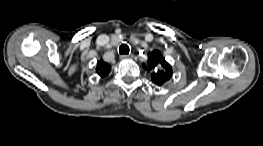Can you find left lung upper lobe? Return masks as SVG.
Masks as SVG:
<instances>
[{"label":"left lung upper lobe","instance_id":"1","mask_svg":"<svg viewBox=\"0 0 263 146\" xmlns=\"http://www.w3.org/2000/svg\"><path fill=\"white\" fill-rule=\"evenodd\" d=\"M148 71H152V81L158 86L163 85L172 77V67L163 58L160 51L155 50L148 55Z\"/></svg>","mask_w":263,"mask_h":146}]
</instances>
